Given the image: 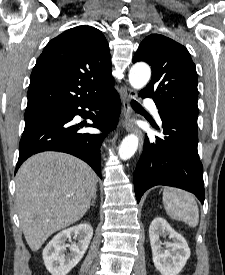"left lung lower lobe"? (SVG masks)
Masks as SVG:
<instances>
[{
    "label": "left lung lower lobe",
    "mask_w": 225,
    "mask_h": 275,
    "mask_svg": "<svg viewBox=\"0 0 225 275\" xmlns=\"http://www.w3.org/2000/svg\"><path fill=\"white\" fill-rule=\"evenodd\" d=\"M159 115L165 137H156L154 142L145 136L134 174L137 202L147 189L166 185L192 192L203 204V167L197 151V122L169 112H159Z\"/></svg>",
    "instance_id": "0a47b994"
}]
</instances>
